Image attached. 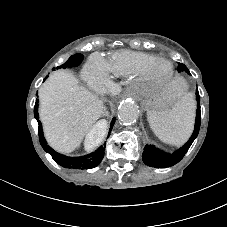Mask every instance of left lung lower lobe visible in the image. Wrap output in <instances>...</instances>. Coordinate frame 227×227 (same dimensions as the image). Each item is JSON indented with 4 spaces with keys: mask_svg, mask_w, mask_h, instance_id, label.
<instances>
[{
    "mask_svg": "<svg viewBox=\"0 0 227 227\" xmlns=\"http://www.w3.org/2000/svg\"><path fill=\"white\" fill-rule=\"evenodd\" d=\"M197 101L199 104V94L198 90L196 91ZM200 129V107L198 105V110L196 113V121H195V129L193 135L189 139V141L178 151L174 153H166L162 150L155 148L153 145H146L144 147V151L142 154V160L148 166L155 167V168H166L175 165L178 163L185 153L188 151L189 147L197 137Z\"/></svg>",
    "mask_w": 227,
    "mask_h": 227,
    "instance_id": "obj_1",
    "label": "left lung lower lobe"
}]
</instances>
